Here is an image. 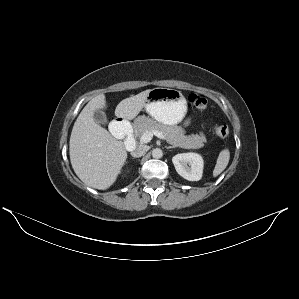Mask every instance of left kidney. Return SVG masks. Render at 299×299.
Wrapping results in <instances>:
<instances>
[{"mask_svg":"<svg viewBox=\"0 0 299 299\" xmlns=\"http://www.w3.org/2000/svg\"><path fill=\"white\" fill-rule=\"evenodd\" d=\"M177 173L188 181H198L203 173V159L197 153H181L172 158Z\"/></svg>","mask_w":299,"mask_h":299,"instance_id":"1","label":"left kidney"}]
</instances>
